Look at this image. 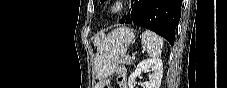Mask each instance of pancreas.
<instances>
[{
  "label": "pancreas",
  "instance_id": "pancreas-1",
  "mask_svg": "<svg viewBox=\"0 0 227 88\" xmlns=\"http://www.w3.org/2000/svg\"><path fill=\"white\" fill-rule=\"evenodd\" d=\"M133 60L129 56H125L120 59V63L122 64H131Z\"/></svg>",
  "mask_w": 227,
  "mask_h": 88
}]
</instances>
